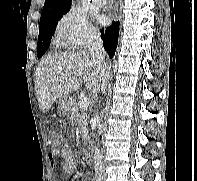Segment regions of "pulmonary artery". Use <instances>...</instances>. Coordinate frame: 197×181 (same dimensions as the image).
<instances>
[{"instance_id":"pulmonary-artery-1","label":"pulmonary artery","mask_w":197,"mask_h":181,"mask_svg":"<svg viewBox=\"0 0 197 181\" xmlns=\"http://www.w3.org/2000/svg\"><path fill=\"white\" fill-rule=\"evenodd\" d=\"M92 1L97 6H104L106 3V0H92Z\"/></svg>"}]
</instances>
